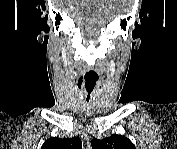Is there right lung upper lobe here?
I'll list each match as a JSON object with an SVG mask.
<instances>
[{"mask_svg": "<svg viewBox=\"0 0 177 149\" xmlns=\"http://www.w3.org/2000/svg\"><path fill=\"white\" fill-rule=\"evenodd\" d=\"M81 140L77 137L73 138H58L52 137L47 139L41 149H81Z\"/></svg>", "mask_w": 177, "mask_h": 149, "instance_id": "obj_1", "label": "right lung upper lobe"}]
</instances>
